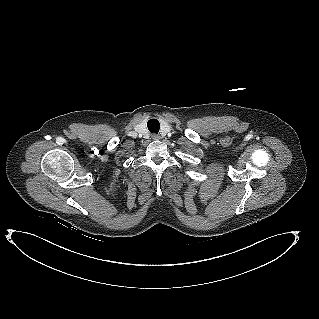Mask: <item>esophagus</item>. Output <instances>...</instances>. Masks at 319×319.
I'll list each match as a JSON object with an SVG mask.
<instances>
[{"label": "esophagus", "mask_w": 319, "mask_h": 319, "mask_svg": "<svg viewBox=\"0 0 319 319\" xmlns=\"http://www.w3.org/2000/svg\"><path fill=\"white\" fill-rule=\"evenodd\" d=\"M151 137H152L153 140H159L160 139V136L158 134H156V133L152 134Z\"/></svg>", "instance_id": "esophagus-1"}]
</instances>
